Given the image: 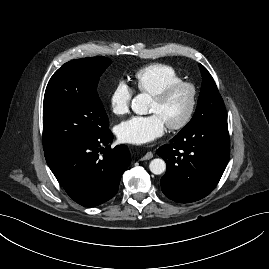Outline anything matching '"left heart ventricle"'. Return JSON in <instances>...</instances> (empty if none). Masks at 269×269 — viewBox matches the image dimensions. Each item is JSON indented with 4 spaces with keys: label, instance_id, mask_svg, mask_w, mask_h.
Instances as JSON below:
<instances>
[{
    "label": "left heart ventricle",
    "instance_id": "left-heart-ventricle-1",
    "mask_svg": "<svg viewBox=\"0 0 269 269\" xmlns=\"http://www.w3.org/2000/svg\"><path fill=\"white\" fill-rule=\"evenodd\" d=\"M189 102L190 91L187 88H179L164 102H158L152 98L149 112L160 115L167 124L182 118Z\"/></svg>",
    "mask_w": 269,
    "mask_h": 269
}]
</instances>
